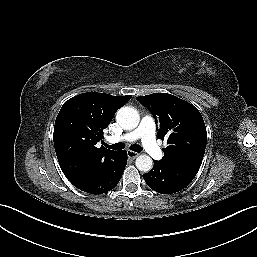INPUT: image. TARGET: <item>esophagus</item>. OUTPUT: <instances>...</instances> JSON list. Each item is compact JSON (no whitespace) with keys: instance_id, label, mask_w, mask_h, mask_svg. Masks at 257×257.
Masks as SVG:
<instances>
[{"instance_id":"34e87169","label":"esophagus","mask_w":257,"mask_h":257,"mask_svg":"<svg viewBox=\"0 0 257 257\" xmlns=\"http://www.w3.org/2000/svg\"><path fill=\"white\" fill-rule=\"evenodd\" d=\"M139 154L137 152H134V151H131V150H128L127 151V156L131 159H135Z\"/></svg>"}]
</instances>
